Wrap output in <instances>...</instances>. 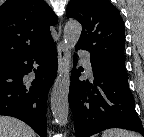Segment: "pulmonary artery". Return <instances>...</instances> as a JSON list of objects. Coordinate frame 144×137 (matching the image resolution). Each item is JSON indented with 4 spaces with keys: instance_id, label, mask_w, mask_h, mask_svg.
<instances>
[{
    "instance_id": "1",
    "label": "pulmonary artery",
    "mask_w": 144,
    "mask_h": 137,
    "mask_svg": "<svg viewBox=\"0 0 144 137\" xmlns=\"http://www.w3.org/2000/svg\"><path fill=\"white\" fill-rule=\"evenodd\" d=\"M80 55L84 61V66L89 74L92 73V65L90 62V54L86 51H80Z\"/></svg>"
}]
</instances>
